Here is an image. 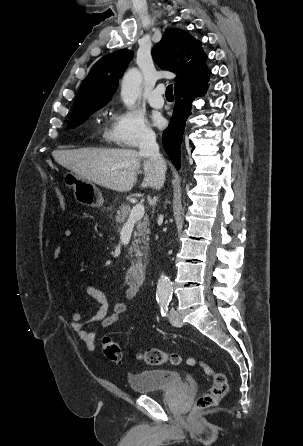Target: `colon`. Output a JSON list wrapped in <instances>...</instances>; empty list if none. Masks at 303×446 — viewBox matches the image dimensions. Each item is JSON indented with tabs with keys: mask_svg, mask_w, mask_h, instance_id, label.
<instances>
[{
	"mask_svg": "<svg viewBox=\"0 0 303 446\" xmlns=\"http://www.w3.org/2000/svg\"><path fill=\"white\" fill-rule=\"evenodd\" d=\"M57 198L62 209L66 208L65 196L57 191ZM102 350L108 360L116 364L122 362V351L118 342L112 337L105 336L102 340ZM138 359L147 365L157 366L165 363L178 365L186 362L190 366L200 368L211 380L212 387L210 390L201 395L196 404L195 410H203L222 401L228 393V381L224 373L217 371L212 366L204 361L193 357L183 358L180 354L175 352H165L157 348H148L138 355Z\"/></svg>",
	"mask_w": 303,
	"mask_h": 446,
	"instance_id": "5ec220e1",
	"label": "colon"
}]
</instances>
